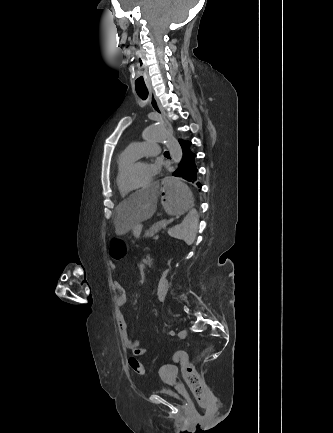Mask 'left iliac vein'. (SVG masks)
Listing matches in <instances>:
<instances>
[{"label":"left iliac vein","mask_w":333,"mask_h":433,"mask_svg":"<svg viewBox=\"0 0 333 433\" xmlns=\"http://www.w3.org/2000/svg\"><path fill=\"white\" fill-rule=\"evenodd\" d=\"M178 336L180 338H185L187 336V331L186 330H180L178 333Z\"/></svg>","instance_id":"left-iliac-vein-1"}]
</instances>
